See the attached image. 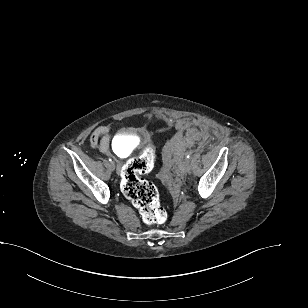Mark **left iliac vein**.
<instances>
[{
	"instance_id": "left-iliac-vein-1",
	"label": "left iliac vein",
	"mask_w": 308,
	"mask_h": 308,
	"mask_svg": "<svg viewBox=\"0 0 308 308\" xmlns=\"http://www.w3.org/2000/svg\"><path fill=\"white\" fill-rule=\"evenodd\" d=\"M181 174H187L190 172V164L188 160H185L180 166Z\"/></svg>"
}]
</instances>
